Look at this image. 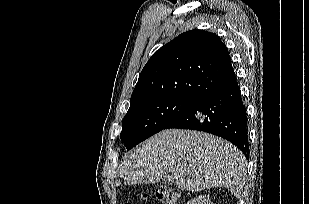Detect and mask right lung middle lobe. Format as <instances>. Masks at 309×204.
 Masks as SVG:
<instances>
[{
	"instance_id": "obj_1",
	"label": "right lung middle lobe",
	"mask_w": 309,
	"mask_h": 204,
	"mask_svg": "<svg viewBox=\"0 0 309 204\" xmlns=\"http://www.w3.org/2000/svg\"><path fill=\"white\" fill-rule=\"evenodd\" d=\"M198 100L190 97H158L130 105L120 134L127 151L165 129Z\"/></svg>"
}]
</instances>
